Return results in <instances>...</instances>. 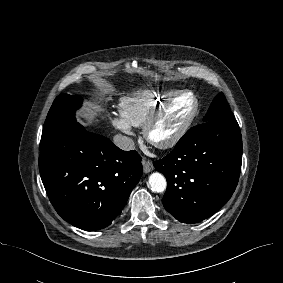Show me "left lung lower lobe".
<instances>
[{"label":"left lung lower lobe","instance_id":"left-lung-lower-lobe-1","mask_svg":"<svg viewBox=\"0 0 283 283\" xmlns=\"http://www.w3.org/2000/svg\"><path fill=\"white\" fill-rule=\"evenodd\" d=\"M241 163L242 138L236 119L191 128L168 155L154 162L167 179L164 207L183 223L210 217L232 196Z\"/></svg>","mask_w":283,"mask_h":283}]
</instances>
